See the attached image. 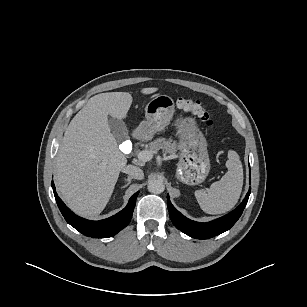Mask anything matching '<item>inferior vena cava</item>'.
<instances>
[{
  "mask_svg": "<svg viewBox=\"0 0 307 307\" xmlns=\"http://www.w3.org/2000/svg\"><path fill=\"white\" fill-rule=\"evenodd\" d=\"M122 172H124V173L128 174L129 176L133 177L134 179H138V180H141L144 177L143 171L139 167H136V166H133V165L125 166L122 169Z\"/></svg>",
  "mask_w": 307,
  "mask_h": 307,
  "instance_id": "obj_1",
  "label": "inferior vena cava"
}]
</instances>
